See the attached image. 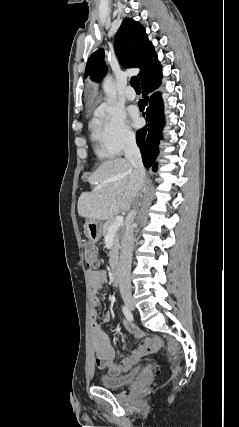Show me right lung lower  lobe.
<instances>
[{
    "label": "right lung lower lobe",
    "mask_w": 239,
    "mask_h": 427,
    "mask_svg": "<svg viewBox=\"0 0 239 427\" xmlns=\"http://www.w3.org/2000/svg\"><path fill=\"white\" fill-rule=\"evenodd\" d=\"M161 78L162 74L160 73L141 83L144 99L141 101L140 109L141 111L145 110L143 116L146 117L148 123L136 134V141L140 147L143 164L146 168L153 166L154 171L157 167L155 161L159 154L158 145L159 140L162 139L161 132L164 126L163 103L159 92L154 93L150 98L146 95L160 86Z\"/></svg>",
    "instance_id": "1"
}]
</instances>
